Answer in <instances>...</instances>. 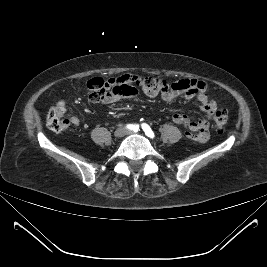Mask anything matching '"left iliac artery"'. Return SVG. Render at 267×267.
I'll return each mask as SVG.
<instances>
[{
    "label": "left iliac artery",
    "instance_id": "left-iliac-artery-1",
    "mask_svg": "<svg viewBox=\"0 0 267 267\" xmlns=\"http://www.w3.org/2000/svg\"><path fill=\"white\" fill-rule=\"evenodd\" d=\"M142 129L144 130V132L146 133L147 136L153 138L154 137V133L151 130V128L147 125V124H142Z\"/></svg>",
    "mask_w": 267,
    "mask_h": 267
}]
</instances>
